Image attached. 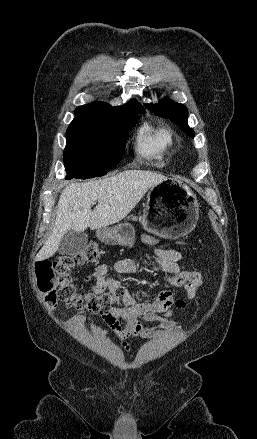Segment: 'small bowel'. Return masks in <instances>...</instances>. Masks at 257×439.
Listing matches in <instances>:
<instances>
[{"instance_id":"c3829d8e","label":"small bowel","mask_w":257,"mask_h":439,"mask_svg":"<svg viewBox=\"0 0 257 439\" xmlns=\"http://www.w3.org/2000/svg\"><path fill=\"white\" fill-rule=\"evenodd\" d=\"M143 242L148 245L156 246L155 254L157 258L150 261L146 270L154 272H164L170 276H175L181 272L178 262L182 259L180 251L171 248L170 243L164 242L161 238L143 235ZM185 244V242H177ZM142 267L130 260L119 261L110 270L105 264L98 265L94 272L86 280L93 281V291L100 292L104 289L115 291L120 285L117 278L119 274H136ZM196 286H184L186 299L191 300L197 292ZM186 307L185 299H176L170 290L161 291L158 295L147 300H137L130 294H126L122 306L112 307L106 314L100 315L105 324L112 330L122 347L126 350L129 345L128 338H165L164 330L145 327L143 321H158L164 329H173L174 324L170 317L174 308L183 309ZM159 314H164L160 317ZM83 320L82 316H75L69 321V325L74 326ZM125 322V325L121 324Z\"/></svg>"}]
</instances>
